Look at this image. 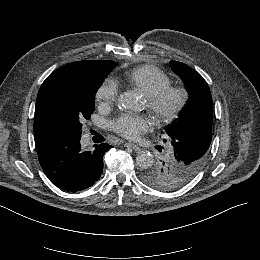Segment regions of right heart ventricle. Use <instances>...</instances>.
<instances>
[{"label":"right heart ventricle","instance_id":"e07e8e85","mask_svg":"<svg viewBox=\"0 0 260 260\" xmlns=\"http://www.w3.org/2000/svg\"><path fill=\"white\" fill-rule=\"evenodd\" d=\"M126 82L134 89H138L144 96L170 84V78L163 72L149 66L132 70L126 76Z\"/></svg>","mask_w":260,"mask_h":260}]
</instances>
